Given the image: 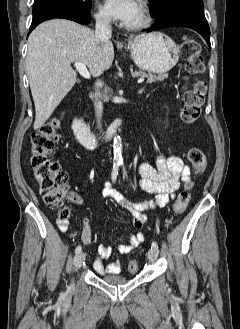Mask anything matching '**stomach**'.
I'll return each mask as SVG.
<instances>
[{
    "instance_id": "stomach-1",
    "label": "stomach",
    "mask_w": 240,
    "mask_h": 329,
    "mask_svg": "<svg viewBox=\"0 0 240 329\" xmlns=\"http://www.w3.org/2000/svg\"><path fill=\"white\" fill-rule=\"evenodd\" d=\"M129 48L135 64L150 73H166L179 59V49L175 42L159 32L135 37L129 41Z\"/></svg>"
}]
</instances>
